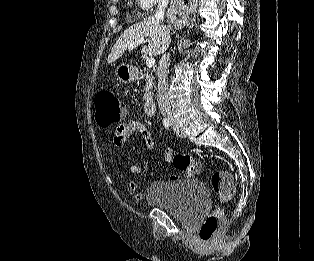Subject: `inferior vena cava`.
Segmentation results:
<instances>
[{"instance_id":"1","label":"inferior vena cava","mask_w":314,"mask_h":261,"mask_svg":"<svg viewBox=\"0 0 314 261\" xmlns=\"http://www.w3.org/2000/svg\"><path fill=\"white\" fill-rule=\"evenodd\" d=\"M168 5V0H159L155 19L158 21L164 20V11ZM170 55L163 53L157 69L158 86H157V101L158 107L164 117L171 118L169 95H168V62Z\"/></svg>"}]
</instances>
